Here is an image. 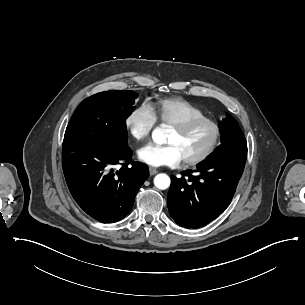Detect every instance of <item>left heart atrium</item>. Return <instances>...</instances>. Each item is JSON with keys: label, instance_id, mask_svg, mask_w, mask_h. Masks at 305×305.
<instances>
[{"label": "left heart atrium", "instance_id": "obj_1", "mask_svg": "<svg viewBox=\"0 0 305 305\" xmlns=\"http://www.w3.org/2000/svg\"><path fill=\"white\" fill-rule=\"evenodd\" d=\"M138 158L151 166L176 165L182 160V155L173 144H148L137 152Z\"/></svg>", "mask_w": 305, "mask_h": 305}]
</instances>
